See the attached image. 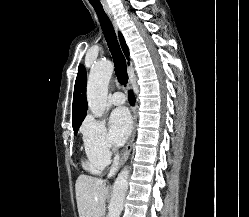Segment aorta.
Masks as SVG:
<instances>
[{
	"instance_id": "obj_1",
	"label": "aorta",
	"mask_w": 249,
	"mask_h": 217,
	"mask_svg": "<svg viewBox=\"0 0 249 217\" xmlns=\"http://www.w3.org/2000/svg\"><path fill=\"white\" fill-rule=\"evenodd\" d=\"M113 72L110 61H103L94 65L87 82L88 107L95 117H101L106 107L108 84ZM129 170L124 168L116 178L109 204L107 217H120L123 203L128 189Z\"/></svg>"
}]
</instances>
